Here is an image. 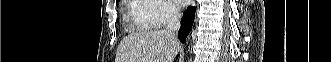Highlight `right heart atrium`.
<instances>
[{
    "label": "right heart atrium",
    "mask_w": 331,
    "mask_h": 62,
    "mask_svg": "<svg viewBox=\"0 0 331 62\" xmlns=\"http://www.w3.org/2000/svg\"><path fill=\"white\" fill-rule=\"evenodd\" d=\"M150 9L148 23L151 28L157 29L175 20L179 10L168 0H142Z\"/></svg>",
    "instance_id": "1"
}]
</instances>
